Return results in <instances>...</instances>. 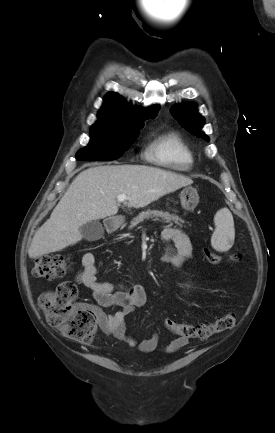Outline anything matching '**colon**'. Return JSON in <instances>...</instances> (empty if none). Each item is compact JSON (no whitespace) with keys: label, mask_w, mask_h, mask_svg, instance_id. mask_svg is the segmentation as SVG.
I'll use <instances>...</instances> for the list:
<instances>
[{"label":"colon","mask_w":275,"mask_h":433,"mask_svg":"<svg viewBox=\"0 0 275 433\" xmlns=\"http://www.w3.org/2000/svg\"><path fill=\"white\" fill-rule=\"evenodd\" d=\"M206 260L213 265L222 262V257L209 249H204ZM229 259L238 261L239 254H232ZM67 271V261L61 256H40L35 259L34 276L54 279ZM77 287L70 282L60 283L54 290L46 291L39 298V305L46 320L60 332L76 342L88 344L96 333V319L88 308L77 305ZM235 314L228 313L212 322L201 324L179 323L166 319L168 330L185 339L205 340L213 335L228 331L236 325Z\"/></svg>","instance_id":"obj_1"}]
</instances>
